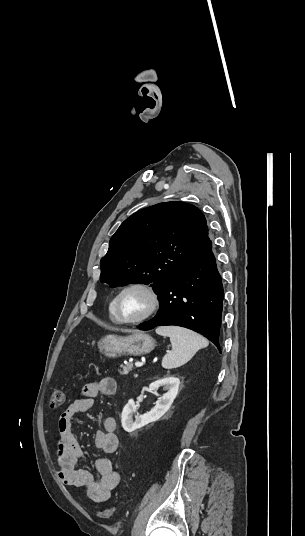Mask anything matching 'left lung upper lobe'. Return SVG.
I'll return each mask as SVG.
<instances>
[{
  "label": "left lung upper lobe",
  "instance_id": "left-lung-upper-lobe-1",
  "mask_svg": "<svg viewBox=\"0 0 305 536\" xmlns=\"http://www.w3.org/2000/svg\"><path fill=\"white\" fill-rule=\"evenodd\" d=\"M210 241L194 205L165 202L127 218L101 259L100 281L110 286L151 283L159 293Z\"/></svg>",
  "mask_w": 305,
  "mask_h": 536
}]
</instances>
